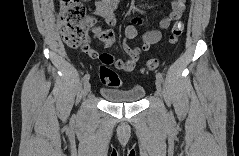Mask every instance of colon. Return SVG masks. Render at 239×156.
I'll return each instance as SVG.
<instances>
[{
    "instance_id": "5ec220e1",
    "label": "colon",
    "mask_w": 239,
    "mask_h": 156,
    "mask_svg": "<svg viewBox=\"0 0 239 156\" xmlns=\"http://www.w3.org/2000/svg\"><path fill=\"white\" fill-rule=\"evenodd\" d=\"M59 24L64 42L71 47H80L83 51H90L88 31L90 20L85 6L78 0H62L59 9ZM184 30L181 22L176 23L170 33L169 41L176 43ZM159 66L157 59H150L143 68V72L156 70ZM99 76L103 83L119 86V77L106 65L99 68Z\"/></svg>"
}]
</instances>
